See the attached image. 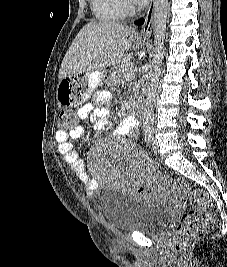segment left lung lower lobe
I'll use <instances>...</instances> for the list:
<instances>
[{"label": "left lung lower lobe", "instance_id": "0a47b994", "mask_svg": "<svg viewBox=\"0 0 227 267\" xmlns=\"http://www.w3.org/2000/svg\"><path fill=\"white\" fill-rule=\"evenodd\" d=\"M144 23V19H140L136 22V25H142Z\"/></svg>", "mask_w": 227, "mask_h": 267}]
</instances>
